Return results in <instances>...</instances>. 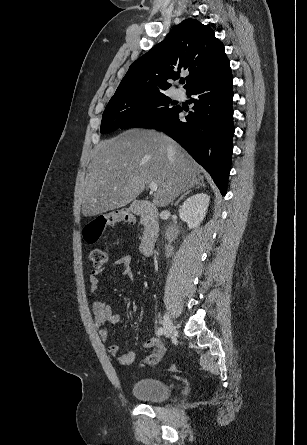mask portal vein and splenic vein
<instances>
[{
    "label": "portal vein and splenic vein",
    "mask_w": 307,
    "mask_h": 445,
    "mask_svg": "<svg viewBox=\"0 0 307 445\" xmlns=\"http://www.w3.org/2000/svg\"><path fill=\"white\" fill-rule=\"evenodd\" d=\"M149 188L150 190H157L158 186H157V182H149Z\"/></svg>",
    "instance_id": "portal-vein-and-splenic-vein-1"
}]
</instances>
